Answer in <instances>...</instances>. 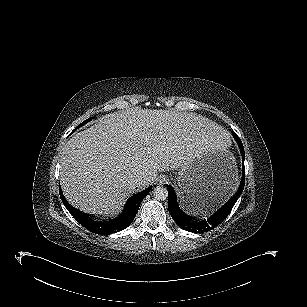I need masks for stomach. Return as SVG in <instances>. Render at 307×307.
<instances>
[{"instance_id": "0dacf381", "label": "stomach", "mask_w": 307, "mask_h": 307, "mask_svg": "<svg viewBox=\"0 0 307 307\" xmlns=\"http://www.w3.org/2000/svg\"><path fill=\"white\" fill-rule=\"evenodd\" d=\"M237 180L236 162L230 152L203 151L179 168L180 204L189 212L202 210L231 195Z\"/></svg>"}]
</instances>
